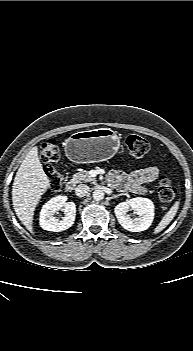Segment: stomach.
Returning <instances> with one entry per match:
<instances>
[{
    "mask_svg": "<svg viewBox=\"0 0 193 351\" xmlns=\"http://www.w3.org/2000/svg\"><path fill=\"white\" fill-rule=\"evenodd\" d=\"M119 147V137L110 128L76 132L66 140L64 145L66 156L78 164L110 159Z\"/></svg>",
    "mask_w": 193,
    "mask_h": 351,
    "instance_id": "obj_1",
    "label": "stomach"
}]
</instances>
